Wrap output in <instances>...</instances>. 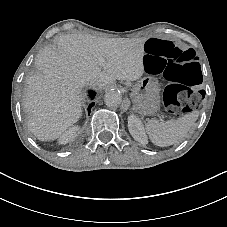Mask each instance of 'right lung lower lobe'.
<instances>
[{
  "mask_svg": "<svg viewBox=\"0 0 227 227\" xmlns=\"http://www.w3.org/2000/svg\"><path fill=\"white\" fill-rule=\"evenodd\" d=\"M90 94H91V97H93V96L95 95L94 92H91ZM92 106H94V103H91V104L89 105V108H88V111H89V112H90Z\"/></svg>",
  "mask_w": 227,
  "mask_h": 227,
  "instance_id": "obj_1",
  "label": "right lung lower lobe"
}]
</instances>
